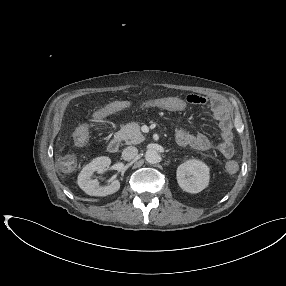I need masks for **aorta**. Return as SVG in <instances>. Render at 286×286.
<instances>
[{
  "mask_svg": "<svg viewBox=\"0 0 286 286\" xmlns=\"http://www.w3.org/2000/svg\"><path fill=\"white\" fill-rule=\"evenodd\" d=\"M145 159L148 163L150 164H155L158 163L160 160V155L158 154L157 151L153 149H149L145 153Z\"/></svg>",
  "mask_w": 286,
  "mask_h": 286,
  "instance_id": "762f6f07",
  "label": "aorta"
}]
</instances>
